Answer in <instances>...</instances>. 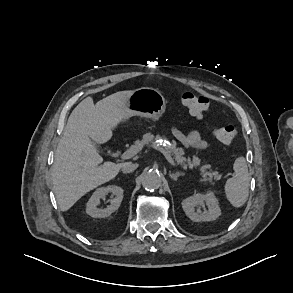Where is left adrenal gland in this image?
<instances>
[{"label":"left adrenal gland","mask_w":293,"mask_h":293,"mask_svg":"<svg viewBox=\"0 0 293 293\" xmlns=\"http://www.w3.org/2000/svg\"><path fill=\"white\" fill-rule=\"evenodd\" d=\"M184 173L182 172H176L175 174L174 173H169V176L174 180V181H177L178 177L180 176H183Z\"/></svg>","instance_id":"a2214340"}]
</instances>
